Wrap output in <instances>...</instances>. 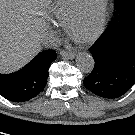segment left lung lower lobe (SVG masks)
Wrapping results in <instances>:
<instances>
[{
  "mask_svg": "<svg viewBox=\"0 0 135 135\" xmlns=\"http://www.w3.org/2000/svg\"><path fill=\"white\" fill-rule=\"evenodd\" d=\"M90 52L95 66L84 86L103 98L124 95L135 84V8L115 18Z\"/></svg>",
  "mask_w": 135,
  "mask_h": 135,
  "instance_id": "left-lung-lower-lobe-1",
  "label": "left lung lower lobe"
}]
</instances>
